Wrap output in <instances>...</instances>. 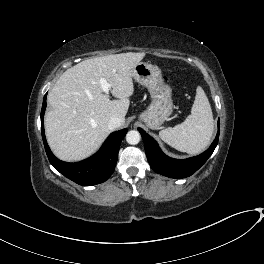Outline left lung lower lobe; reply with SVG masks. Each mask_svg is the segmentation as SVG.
Here are the masks:
<instances>
[{
    "label": "left lung lower lobe",
    "instance_id": "obj_1",
    "mask_svg": "<svg viewBox=\"0 0 264 264\" xmlns=\"http://www.w3.org/2000/svg\"><path fill=\"white\" fill-rule=\"evenodd\" d=\"M219 126L220 123L218 121L217 136L211 146L205 152L198 156L184 160L173 159L166 156L152 137H150L141 128H138V130L143 138L147 159L152 169L155 172L167 177L185 178L195 173L213 153L218 144Z\"/></svg>",
    "mask_w": 264,
    "mask_h": 264
}]
</instances>
